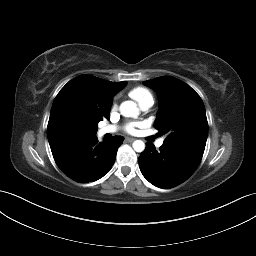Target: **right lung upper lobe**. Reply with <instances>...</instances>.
<instances>
[{
    "mask_svg": "<svg viewBox=\"0 0 256 256\" xmlns=\"http://www.w3.org/2000/svg\"><path fill=\"white\" fill-rule=\"evenodd\" d=\"M126 84L86 74L68 82L52 105L47 127L49 144L71 137L72 128L97 129L99 121L109 119L112 97Z\"/></svg>",
    "mask_w": 256,
    "mask_h": 256,
    "instance_id": "right-lung-upper-lobe-1",
    "label": "right lung upper lobe"
}]
</instances>
